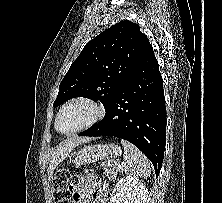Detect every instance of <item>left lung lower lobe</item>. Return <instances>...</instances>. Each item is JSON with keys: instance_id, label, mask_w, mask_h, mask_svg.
Segmentation results:
<instances>
[{"instance_id": "1", "label": "left lung lower lobe", "mask_w": 222, "mask_h": 203, "mask_svg": "<svg viewBox=\"0 0 222 203\" xmlns=\"http://www.w3.org/2000/svg\"><path fill=\"white\" fill-rule=\"evenodd\" d=\"M105 117L81 136H114L139 148L159 175L166 142V107L162 77L151 44L114 93Z\"/></svg>"}]
</instances>
